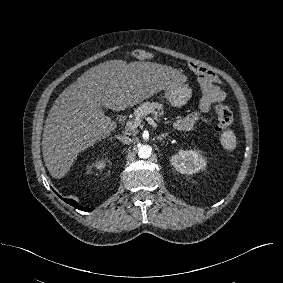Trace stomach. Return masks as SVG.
I'll return each instance as SVG.
<instances>
[{
    "mask_svg": "<svg viewBox=\"0 0 283 283\" xmlns=\"http://www.w3.org/2000/svg\"><path fill=\"white\" fill-rule=\"evenodd\" d=\"M192 94L189 86L178 83L165 89L163 98L166 99L172 106L180 107L187 103Z\"/></svg>",
    "mask_w": 283,
    "mask_h": 283,
    "instance_id": "obj_1",
    "label": "stomach"
}]
</instances>
